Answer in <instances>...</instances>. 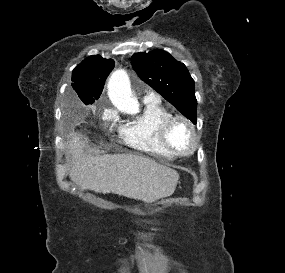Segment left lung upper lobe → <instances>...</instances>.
<instances>
[{"label": "left lung upper lobe", "instance_id": "5c2ea615", "mask_svg": "<svg viewBox=\"0 0 285 273\" xmlns=\"http://www.w3.org/2000/svg\"><path fill=\"white\" fill-rule=\"evenodd\" d=\"M131 63L139 77L196 123L194 80L185 66L163 50L137 53Z\"/></svg>", "mask_w": 285, "mask_h": 273}]
</instances>
